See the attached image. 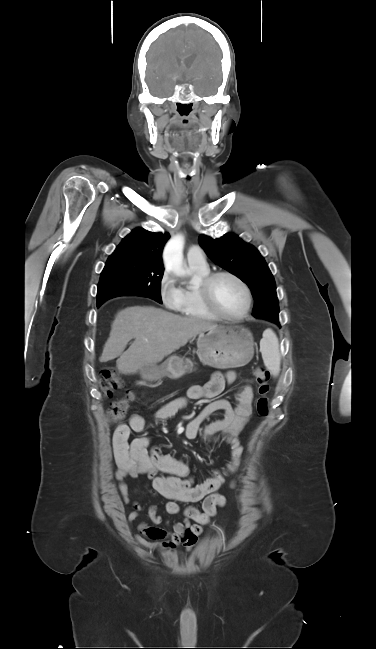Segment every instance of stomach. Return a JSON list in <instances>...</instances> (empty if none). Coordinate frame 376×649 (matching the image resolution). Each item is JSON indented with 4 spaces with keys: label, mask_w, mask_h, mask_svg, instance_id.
I'll list each match as a JSON object with an SVG mask.
<instances>
[{
    "label": "stomach",
    "mask_w": 376,
    "mask_h": 649,
    "mask_svg": "<svg viewBox=\"0 0 376 649\" xmlns=\"http://www.w3.org/2000/svg\"><path fill=\"white\" fill-rule=\"evenodd\" d=\"M197 353L203 364L226 369L244 366L253 358L254 343L251 332L241 326H220L202 331L197 340ZM188 365L184 359L173 355L161 366H145L140 369L143 380L153 382L168 376L181 378Z\"/></svg>",
    "instance_id": "stomach-1"
}]
</instances>
